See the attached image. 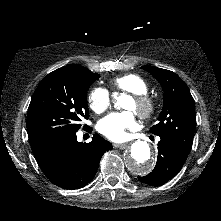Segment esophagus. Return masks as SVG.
<instances>
[{"label":"esophagus","mask_w":221,"mask_h":221,"mask_svg":"<svg viewBox=\"0 0 221 221\" xmlns=\"http://www.w3.org/2000/svg\"><path fill=\"white\" fill-rule=\"evenodd\" d=\"M113 146L114 148H124L127 146V143H121V144L114 143Z\"/></svg>","instance_id":"34e87169"}]
</instances>
